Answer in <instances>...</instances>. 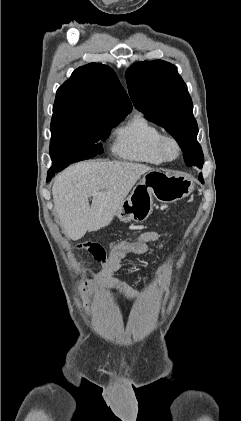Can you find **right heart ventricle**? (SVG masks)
Returning <instances> with one entry per match:
<instances>
[{
	"mask_svg": "<svg viewBox=\"0 0 241 421\" xmlns=\"http://www.w3.org/2000/svg\"><path fill=\"white\" fill-rule=\"evenodd\" d=\"M161 135L143 114L136 113L116 130L113 151L124 159L159 165L165 161L157 147Z\"/></svg>",
	"mask_w": 241,
	"mask_h": 421,
	"instance_id": "right-heart-ventricle-1",
	"label": "right heart ventricle"
}]
</instances>
